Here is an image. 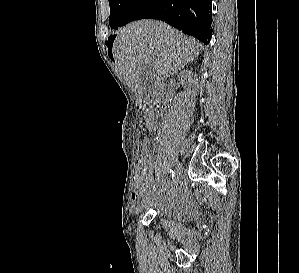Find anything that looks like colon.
<instances>
[{
  "instance_id": "colon-1",
  "label": "colon",
  "mask_w": 299,
  "mask_h": 273,
  "mask_svg": "<svg viewBox=\"0 0 299 273\" xmlns=\"http://www.w3.org/2000/svg\"><path fill=\"white\" fill-rule=\"evenodd\" d=\"M142 150H151V141L149 138L145 137L141 140Z\"/></svg>"
}]
</instances>
